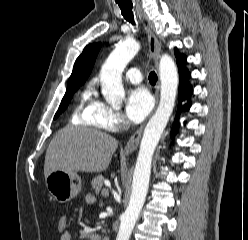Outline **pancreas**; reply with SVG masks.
<instances>
[{"label": "pancreas", "instance_id": "pancreas-1", "mask_svg": "<svg viewBox=\"0 0 248 240\" xmlns=\"http://www.w3.org/2000/svg\"><path fill=\"white\" fill-rule=\"evenodd\" d=\"M103 183H104V177L102 175H98L92 180L91 185L96 194H98L101 191V187L103 186Z\"/></svg>", "mask_w": 248, "mask_h": 240}]
</instances>
